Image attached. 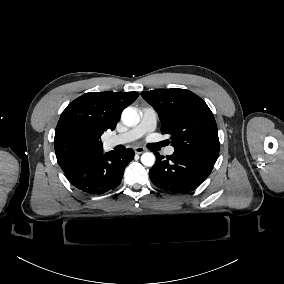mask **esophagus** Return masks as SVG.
<instances>
[{
  "label": "esophagus",
  "instance_id": "obj_1",
  "mask_svg": "<svg viewBox=\"0 0 284 284\" xmlns=\"http://www.w3.org/2000/svg\"><path fill=\"white\" fill-rule=\"evenodd\" d=\"M133 149L136 154H142L146 151V149L142 146H136Z\"/></svg>",
  "mask_w": 284,
  "mask_h": 284
}]
</instances>
